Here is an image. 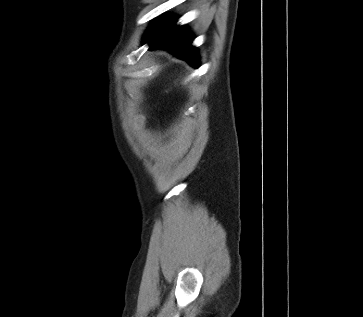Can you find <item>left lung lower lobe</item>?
<instances>
[{"label":"left lung lower lobe","instance_id":"1","mask_svg":"<svg viewBox=\"0 0 363 317\" xmlns=\"http://www.w3.org/2000/svg\"><path fill=\"white\" fill-rule=\"evenodd\" d=\"M176 20L164 18L153 24L147 31L144 42H151L150 49L165 48L176 56L188 61L193 67L198 68V54L190 44L191 35L183 27H175Z\"/></svg>","mask_w":363,"mask_h":317}]
</instances>
